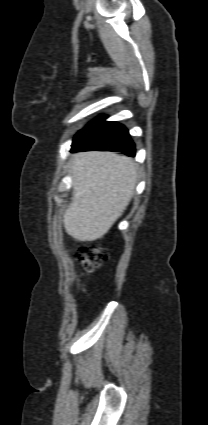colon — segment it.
<instances>
[{
	"mask_svg": "<svg viewBox=\"0 0 208 425\" xmlns=\"http://www.w3.org/2000/svg\"><path fill=\"white\" fill-rule=\"evenodd\" d=\"M108 259L105 248L97 245L85 244L78 249L77 260L86 272H93Z\"/></svg>",
	"mask_w": 208,
	"mask_h": 425,
	"instance_id": "1",
	"label": "colon"
}]
</instances>
